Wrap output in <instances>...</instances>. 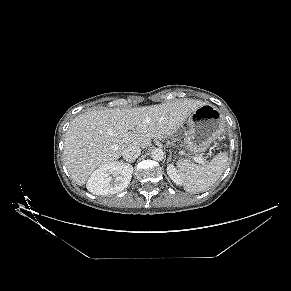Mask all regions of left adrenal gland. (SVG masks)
<instances>
[{
    "label": "left adrenal gland",
    "mask_w": 291,
    "mask_h": 291,
    "mask_svg": "<svg viewBox=\"0 0 291 291\" xmlns=\"http://www.w3.org/2000/svg\"><path fill=\"white\" fill-rule=\"evenodd\" d=\"M172 159V153H170L169 158H168V162L171 161Z\"/></svg>",
    "instance_id": "left-adrenal-gland-1"
}]
</instances>
